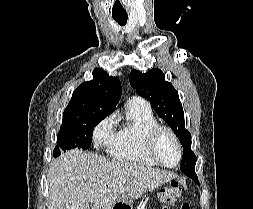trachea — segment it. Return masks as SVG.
<instances>
[{
  "label": "trachea",
  "instance_id": "trachea-1",
  "mask_svg": "<svg viewBox=\"0 0 253 209\" xmlns=\"http://www.w3.org/2000/svg\"><path fill=\"white\" fill-rule=\"evenodd\" d=\"M113 19L121 26L127 23V15L125 16H113Z\"/></svg>",
  "mask_w": 253,
  "mask_h": 209
}]
</instances>
